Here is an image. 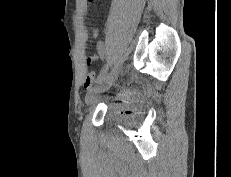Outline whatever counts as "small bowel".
<instances>
[{
    "instance_id": "c3829d8e",
    "label": "small bowel",
    "mask_w": 231,
    "mask_h": 177,
    "mask_svg": "<svg viewBox=\"0 0 231 177\" xmlns=\"http://www.w3.org/2000/svg\"><path fill=\"white\" fill-rule=\"evenodd\" d=\"M93 35L96 36L97 35V30L93 29ZM97 53L98 55H93L89 58L86 59V64L90 65V63L94 60H96L98 58V56L103 57L106 53L105 47L102 43H99L97 46ZM95 82V78H94V74L93 73H88L84 79V87L86 89L91 88V86L94 84Z\"/></svg>"
}]
</instances>
